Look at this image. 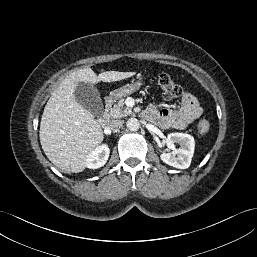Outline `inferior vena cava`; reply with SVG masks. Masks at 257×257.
<instances>
[{"instance_id":"1","label":"inferior vena cava","mask_w":257,"mask_h":257,"mask_svg":"<svg viewBox=\"0 0 257 257\" xmlns=\"http://www.w3.org/2000/svg\"><path fill=\"white\" fill-rule=\"evenodd\" d=\"M123 125V121L122 120H114L112 122H110L109 124V128L111 130H117V129H120Z\"/></svg>"}]
</instances>
